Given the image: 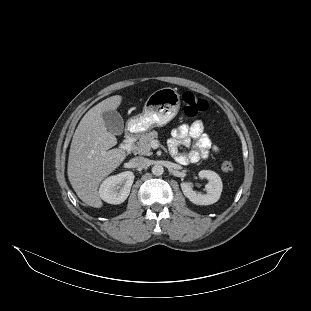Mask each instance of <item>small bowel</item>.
I'll return each instance as SVG.
<instances>
[{"label":"small bowel","instance_id":"obj_1","mask_svg":"<svg viewBox=\"0 0 311 311\" xmlns=\"http://www.w3.org/2000/svg\"><path fill=\"white\" fill-rule=\"evenodd\" d=\"M168 146L171 155L182 165L207 159L211 152L219 151L204 132V125L200 120L175 128ZM180 147H184L186 150L180 151Z\"/></svg>","mask_w":311,"mask_h":311}]
</instances>
